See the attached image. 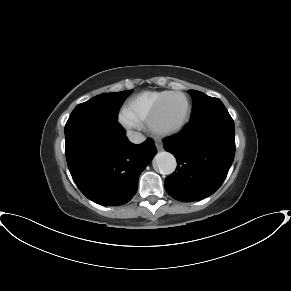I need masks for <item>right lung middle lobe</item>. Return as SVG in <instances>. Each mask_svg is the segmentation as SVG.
<instances>
[{
	"instance_id": "dd1d6c3e",
	"label": "right lung middle lobe",
	"mask_w": 291,
	"mask_h": 291,
	"mask_svg": "<svg viewBox=\"0 0 291 291\" xmlns=\"http://www.w3.org/2000/svg\"><path fill=\"white\" fill-rule=\"evenodd\" d=\"M132 90L97 95L77 105L70 117L89 115L117 120L118 109Z\"/></svg>"
}]
</instances>
